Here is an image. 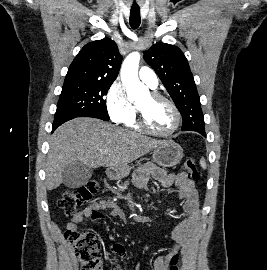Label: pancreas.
<instances>
[{"label":"pancreas","instance_id":"cf45deb5","mask_svg":"<svg viewBox=\"0 0 267 270\" xmlns=\"http://www.w3.org/2000/svg\"><path fill=\"white\" fill-rule=\"evenodd\" d=\"M128 186V181H126L122 186H119V190L124 191L125 189H127Z\"/></svg>","mask_w":267,"mask_h":270}]
</instances>
